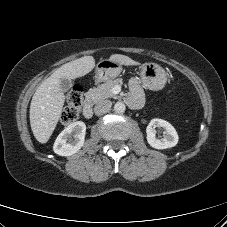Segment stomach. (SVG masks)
<instances>
[{"label":"stomach","instance_id":"0dacf381","mask_svg":"<svg viewBox=\"0 0 227 227\" xmlns=\"http://www.w3.org/2000/svg\"><path fill=\"white\" fill-rule=\"evenodd\" d=\"M140 75L144 87L157 91L161 90L166 83L164 70L154 63L143 64ZM122 71V66L110 59H102L96 66V80L106 81L117 77Z\"/></svg>","mask_w":227,"mask_h":227}]
</instances>
